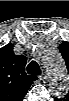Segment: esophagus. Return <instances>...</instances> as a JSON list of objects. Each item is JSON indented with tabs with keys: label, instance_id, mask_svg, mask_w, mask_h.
Wrapping results in <instances>:
<instances>
[{
	"label": "esophagus",
	"instance_id": "obj_1",
	"mask_svg": "<svg viewBox=\"0 0 69 101\" xmlns=\"http://www.w3.org/2000/svg\"><path fill=\"white\" fill-rule=\"evenodd\" d=\"M41 80H45V77L43 76V74L40 76Z\"/></svg>",
	"mask_w": 69,
	"mask_h": 101
}]
</instances>
